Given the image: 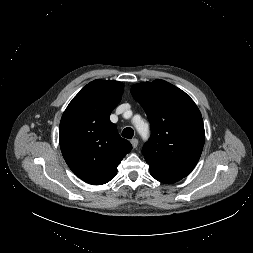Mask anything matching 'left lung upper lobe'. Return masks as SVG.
<instances>
[{
    "label": "left lung upper lobe",
    "instance_id": "5c2ea615",
    "mask_svg": "<svg viewBox=\"0 0 253 253\" xmlns=\"http://www.w3.org/2000/svg\"><path fill=\"white\" fill-rule=\"evenodd\" d=\"M131 94L151 125V137L142 149L150 169L186 177L198 163L205 142L198 107L184 91L160 79L133 85Z\"/></svg>",
    "mask_w": 253,
    "mask_h": 253
}]
</instances>
